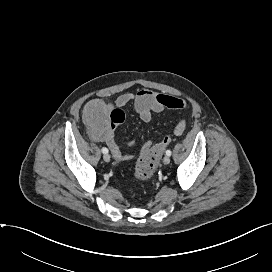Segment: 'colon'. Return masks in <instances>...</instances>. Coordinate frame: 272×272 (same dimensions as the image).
Returning <instances> with one entry per match:
<instances>
[{"label":"colon","mask_w":272,"mask_h":272,"mask_svg":"<svg viewBox=\"0 0 272 272\" xmlns=\"http://www.w3.org/2000/svg\"><path fill=\"white\" fill-rule=\"evenodd\" d=\"M84 118L91 134L101 136L107 130L121 124L125 115L120 109H112L105 101L94 99L85 105ZM171 141L170 136L164 137L139 158L135 171L136 178L145 180L153 175L162 152Z\"/></svg>","instance_id":"5ec220e1"}]
</instances>
